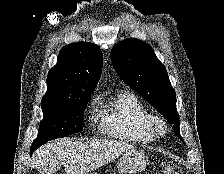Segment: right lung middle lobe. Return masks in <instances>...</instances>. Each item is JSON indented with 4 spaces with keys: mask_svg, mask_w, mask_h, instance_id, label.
Here are the masks:
<instances>
[{
    "mask_svg": "<svg viewBox=\"0 0 224 174\" xmlns=\"http://www.w3.org/2000/svg\"><path fill=\"white\" fill-rule=\"evenodd\" d=\"M88 100L89 95L70 100H42L44 118L31 148H38L50 140L82 131Z\"/></svg>",
    "mask_w": 224,
    "mask_h": 174,
    "instance_id": "1",
    "label": "right lung middle lobe"
}]
</instances>
